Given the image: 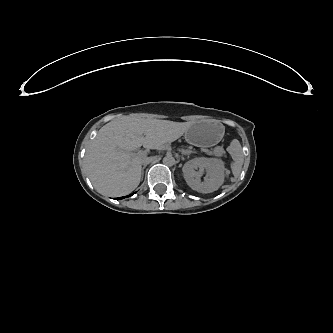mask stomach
Returning <instances> with one entry per match:
<instances>
[{
	"mask_svg": "<svg viewBox=\"0 0 333 333\" xmlns=\"http://www.w3.org/2000/svg\"><path fill=\"white\" fill-rule=\"evenodd\" d=\"M186 140L189 144H192V145H201L202 144L201 142L196 141L195 139H193L191 137V135H186Z\"/></svg>",
	"mask_w": 333,
	"mask_h": 333,
	"instance_id": "stomach-1",
	"label": "stomach"
}]
</instances>
